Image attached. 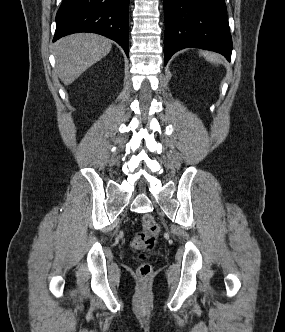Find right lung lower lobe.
<instances>
[{"label":"right lung lower lobe","instance_id":"obj_1","mask_svg":"<svg viewBox=\"0 0 285 332\" xmlns=\"http://www.w3.org/2000/svg\"><path fill=\"white\" fill-rule=\"evenodd\" d=\"M128 10L129 0H63L53 41L76 32H92L116 41L128 56Z\"/></svg>","mask_w":285,"mask_h":332}]
</instances>
